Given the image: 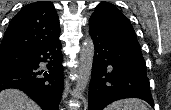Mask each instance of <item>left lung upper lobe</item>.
I'll return each instance as SVG.
<instances>
[{
  "instance_id": "5c2ea615",
  "label": "left lung upper lobe",
  "mask_w": 171,
  "mask_h": 110,
  "mask_svg": "<svg viewBox=\"0 0 171 110\" xmlns=\"http://www.w3.org/2000/svg\"><path fill=\"white\" fill-rule=\"evenodd\" d=\"M91 18L99 22L110 33L139 45L129 19L114 5L107 2L100 3Z\"/></svg>"
}]
</instances>
